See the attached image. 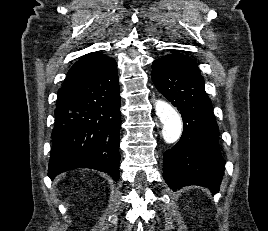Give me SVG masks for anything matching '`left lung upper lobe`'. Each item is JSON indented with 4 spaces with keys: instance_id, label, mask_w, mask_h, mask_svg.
Returning <instances> with one entry per match:
<instances>
[{
    "instance_id": "5c2ea615",
    "label": "left lung upper lobe",
    "mask_w": 268,
    "mask_h": 231,
    "mask_svg": "<svg viewBox=\"0 0 268 231\" xmlns=\"http://www.w3.org/2000/svg\"><path fill=\"white\" fill-rule=\"evenodd\" d=\"M164 57L176 59L177 61L182 62V63L186 64L187 66L199 71L197 63L193 59H191V58H189L181 53L175 52V53L166 55Z\"/></svg>"
}]
</instances>
